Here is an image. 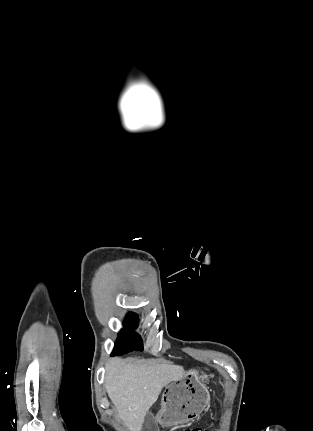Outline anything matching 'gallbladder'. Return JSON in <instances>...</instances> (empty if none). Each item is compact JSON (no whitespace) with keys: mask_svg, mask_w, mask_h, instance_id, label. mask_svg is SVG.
Listing matches in <instances>:
<instances>
[{"mask_svg":"<svg viewBox=\"0 0 313 431\" xmlns=\"http://www.w3.org/2000/svg\"><path fill=\"white\" fill-rule=\"evenodd\" d=\"M145 426L148 429L153 430L156 427V421L152 416H147L145 420Z\"/></svg>","mask_w":313,"mask_h":431,"instance_id":"bac80fb5","label":"gallbladder"}]
</instances>
